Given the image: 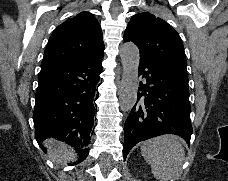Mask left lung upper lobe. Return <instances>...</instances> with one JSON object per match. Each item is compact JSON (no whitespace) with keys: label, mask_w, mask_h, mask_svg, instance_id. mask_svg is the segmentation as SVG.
<instances>
[{"label":"left lung upper lobe","mask_w":228,"mask_h":181,"mask_svg":"<svg viewBox=\"0 0 228 181\" xmlns=\"http://www.w3.org/2000/svg\"><path fill=\"white\" fill-rule=\"evenodd\" d=\"M124 41L135 43L140 57H149L186 69L184 46L179 34L164 20L142 12L132 16Z\"/></svg>","instance_id":"1"}]
</instances>
